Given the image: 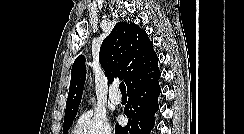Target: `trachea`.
<instances>
[{"instance_id":"trachea-1","label":"trachea","mask_w":244,"mask_h":134,"mask_svg":"<svg viewBox=\"0 0 244 134\" xmlns=\"http://www.w3.org/2000/svg\"><path fill=\"white\" fill-rule=\"evenodd\" d=\"M119 88H120V91L122 94H126V86H125L124 82L120 83Z\"/></svg>"}]
</instances>
